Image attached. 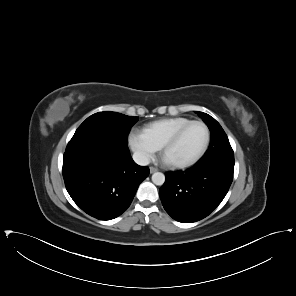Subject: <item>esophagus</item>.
<instances>
[{
    "label": "esophagus",
    "instance_id": "esophagus-1",
    "mask_svg": "<svg viewBox=\"0 0 296 296\" xmlns=\"http://www.w3.org/2000/svg\"><path fill=\"white\" fill-rule=\"evenodd\" d=\"M156 171H158L157 168H155V167H153V166L150 167V173H151V174L154 173V172H156Z\"/></svg>",
    "mask_w": 296,
    "mask_h": 296
}]
</instances>
